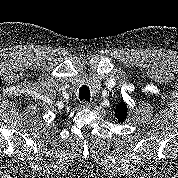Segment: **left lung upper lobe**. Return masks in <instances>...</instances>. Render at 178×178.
Masks as SVG:
<instances>
[{
	"instance_id": "1",
	"label": "left lung upper lobe",
	"mask_w": 178,
	"mask_h": 178,
	"mask_svg": "<svg viewBox=\"0 0 178 178\" xmlns=\"http://www.w3.org/2000/svg\"><path fill=\"white\" fill-rule=\"evenodd\" d=\"M115 113L118 117V122H123L127 116V106L123 101L116 106Z\"/></svg>"
}]
</instances>
